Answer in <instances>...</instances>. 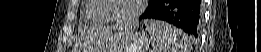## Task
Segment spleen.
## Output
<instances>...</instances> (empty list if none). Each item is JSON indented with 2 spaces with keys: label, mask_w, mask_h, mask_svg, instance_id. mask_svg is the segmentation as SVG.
<instances>
[{
  "label": "spleen",
  "mask_w": 261,
  "mask_h": 52,
  "mask_svg": "<svg viewBox=\"0 0 261 52\" xmlns=\"http://www.w3.org/2000/svg\"><path fill=\"white\" fill-rule=\"evenodd\" d=\"M149 32L152 52H190L191 40L181 30L168 23L145 20Z\"/></svg>",
  "instance_id": "3e777b00"
}]
</instances>
